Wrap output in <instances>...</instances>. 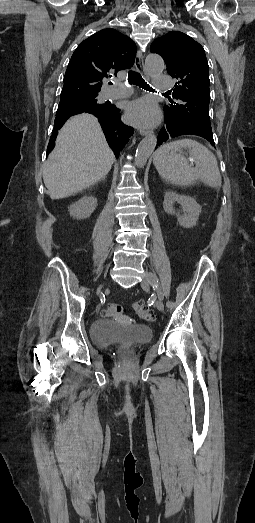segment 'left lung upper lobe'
Instances as JSON below:
<instances>
[{"label":"left lung upper lobe","mask_w":255,"mask_h":523,"mask_svg":"<svg viewBox=\"0 0 255 523\" xmlns=\"http://www.w3.org/2000/svg\"><path fill=\"white\" fill-rule=\"evenodd\" d=\"M151 52L161 55L168 74L179 80L172 94L177 101L170 99L164 110L169 109L170 118L196 123L212 134L215 127H211L209 116V66L203 47L188 35L171 31L153 41Z\"/></svg>","instance_id":"obj_1"}]
</instances>
